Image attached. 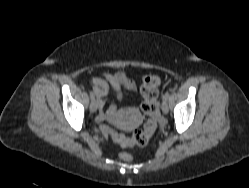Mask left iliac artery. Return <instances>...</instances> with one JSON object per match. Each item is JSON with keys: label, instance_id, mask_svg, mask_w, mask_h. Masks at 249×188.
Returning a JSON list of instances; mask_svg holds the SVG:
<instances>
[{"label": "left iliac artery", "instance_id": "obj_1", "mask_svg": "<svg viewBox=\"0 0 249 188\" xmlns=\"http://www.w3.org/2000/svg\"><path fill=\"white\" fill-rule=\"evenodd\" d=\"M169 96H170V92L169 91H167L165 94H164V96H163V100H168V98H169Z\"/></svg>", "mask_w": 249, "mask_h": 188}]
</instances>
